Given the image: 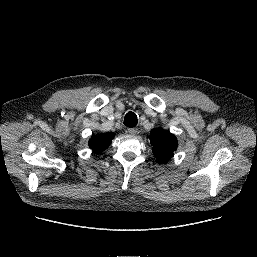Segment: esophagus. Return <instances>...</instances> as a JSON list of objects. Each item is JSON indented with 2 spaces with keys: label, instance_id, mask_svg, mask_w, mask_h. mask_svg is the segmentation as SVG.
I'll list each match as a JSON object with an SVG mask.
<instances>
[{
  "label": "esophagus",
  "instance_id": "esophagus-1",
  "mask_svg": "<svg viewBox=\"0 0 257 257\" xmlns=\"http://www.w3.org/2000/svg\"><path fill=\"white\" fill-rule=\"evenodd\" d=\"M127 132L131 135H135L137 133V129L136 128H128Z\"/></svg>",
  "mask_w": 257,
  "mask_h": 257
}]
</instances>
